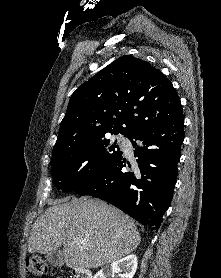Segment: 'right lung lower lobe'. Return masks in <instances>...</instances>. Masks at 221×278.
Here are the masks:
<instances>
[{"mask_svg":"<svg viewBox=\"0 0 221 278\" xmlns=\"http://www.w3.org/2000/svg\"><path fill=\"white\" fill-rule=\"evenodd\" d=\"M183 126L181 115L131 133L127 138L135 148L136 163L130 165L121 154L75 192L105 200L141 224L158 229L173 198Z\"/></svg>","mask_w":221,"mask_h":278,"instance_id":"obj_1","label":"right lung lower lobe"}]
</instances>
